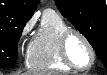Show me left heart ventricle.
Instances as JSON below:
<instances>
[{
	"mask_svg": "<svg viewBox=\"0 0 107 75\" xmlns=\"http://www.w3.org/2000/svg\"><path fill=\"white\" fill-rule=\"evenodd\" d=\"M68 53L71 60L78 66H87L91 61V54L84 41L73 35L68 41Z\"/></svg>",
	"mask_w": 107,
	"mask_h": 75,
	"instance_id": "1",
	"label": "left heart ventricle"
}]
</instances>
